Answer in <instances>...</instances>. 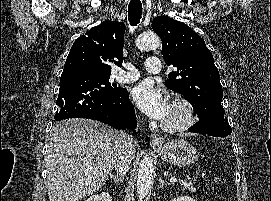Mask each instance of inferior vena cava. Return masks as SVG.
Returning a JSON list of instances; mask_svg holds the SVG:
<instances>
[{"label":"inferior vena cava","mask_w":271,"mask_h":201,"mask_svg":"<svg viewBox=\"0 0 271 201\" xmlns=\"http://www.w3.org/2000/svg\"><path fill=\"white\" fill-rule=\"evenodd\" d=\"M116 141L118 143V152L115 157V169L117 175L121 178L126 174L130 168L133 145H132V135L129 132L117 131Z\"/></svg>","instance_id":"602c4592"}]
</instances>
